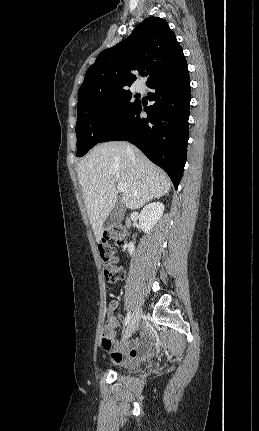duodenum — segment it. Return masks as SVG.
I'll list each match as a JSON object with an SVG mask.
<instances>
[{"instance_id": "duodenum-1", "label": "duodenum", "mask_w": 259, "mask_h": 431, "mask_svg": "<svg viewBox=\"0 0 259 431\" xmlns=\"http://www.w3.org/2000/svg\"><path fill=\"white\" fill-rule=\"evenodd\" d=\"M126 226H129V221L126 222Z\"/></svg>"}]
</instances>
